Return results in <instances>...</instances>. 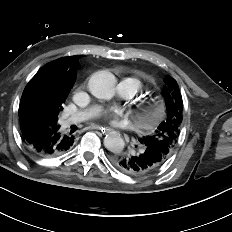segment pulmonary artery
<instances>
[{"mask_svg":"<svg viewBox=\"0 0 232 232\" xmlns=\"http://www.w3.org/2000/svg\"><path fill=\"white\" fill-rule=\"evenodd\" d=\"M139 83L133 78H124L118 85V93L125 98L133 97L139 90ZM98 110V107H91L85 110L78 111L62 121L64 128L72 124L80 123L92 117Z\"/></svg>","mask_w":232,"mask_h":232,"instance_id":"pulmonary-artery-1","label":"pulmonary artery"}]
</instances>
